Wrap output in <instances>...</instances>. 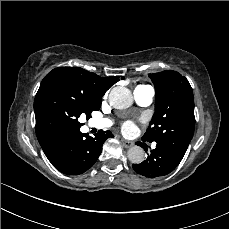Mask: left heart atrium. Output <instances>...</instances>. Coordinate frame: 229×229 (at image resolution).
I'll return each instance as SVG.
<instances>
[{
    "mask_svg": "<svg viewBox=\"0 0 229 229\" xmlns=\"http://www.w3.org/2000/svg\"><path fill=\"white\" fill-rule=\"evenodd\" d=\"M121 129L124 133L130 134L137 131V126L133 121H124L121 124Z\"/></svg>",
    "mask_w": 229,
    "mask_h": 229,
    "instance_id": "39dd6f15",
    "label": "left heart atrium"
}]
</instances>
